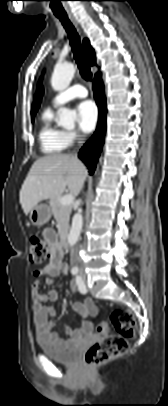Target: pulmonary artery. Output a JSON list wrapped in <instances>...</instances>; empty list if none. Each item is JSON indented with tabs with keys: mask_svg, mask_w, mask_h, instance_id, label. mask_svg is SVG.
Wrapping results in <instances>:
<instances>
[{
	"mask_svg": "<svg viewBox=\"0 0 168 406\" xmlns=\"http://www.w3.org/2000/svg\"><path fill=\"white\" fill-rule=\"evenodd\" d=\"M88 96L86 88L82 85L75 84L67 88L66 90L58 93L52 99L53 106H59L67 103L68 101L75 98H85Z\"/></svg>",
	"mask_w": 168,
	"mask_h": 406,
	"instance_id": "1",
	"label": "pulmonary artery"
}]
</instances>
